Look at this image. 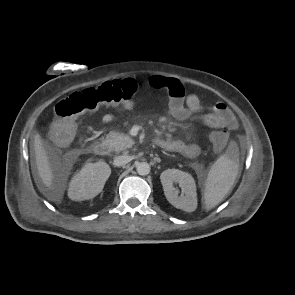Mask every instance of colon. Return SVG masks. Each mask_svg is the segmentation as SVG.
I'll list each match as a JSON object with an SVG mask.
<instances>
[{
  "mask_svg": "<svg viewBox=\"0 0 295 295\" xmlns=\"http://www.w3.org/2000/svg\"><path fill=\"white\" fill-rule=\"evenodd\" d=\"M140 89L139 82L122 79L73 92L56 106V119L50 130L52 140L59 145L70 143L75 134L77 117L102 106H122L130 102ZM210 140L215 149L222 150L228 144L229 134L226 130L214 131Z\"/></svg>",
  "mask_w": 295,
  "mask_h": 295,
  "instance_id": "obj_1",
  "label": "colon"
}]
</instances>
